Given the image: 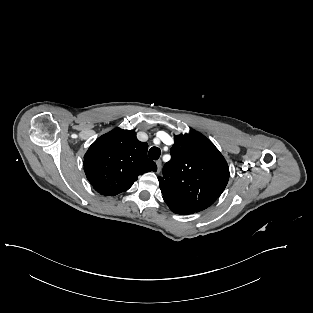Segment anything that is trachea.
Returning a JSON list of instances; mask_svg holds the SVG:
<instances>
[{
	"instance_id": "1",
	"label": "trachea",
	"mask_w": 313,
	"mask_h": 313,
	"mask_svg": "<svg viewBox=\"0 0 313 313\" xmlns=\"http://www.w3.org/2000/svg\"><path fill=\"white\" fill-rule=\"evenodd\" d=\"M148 154L151 159L157 160L161 155V150L158 147H152Z\"/></svg>"
}]
</instances>
